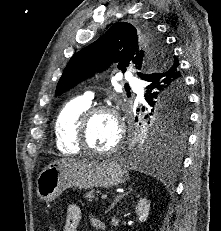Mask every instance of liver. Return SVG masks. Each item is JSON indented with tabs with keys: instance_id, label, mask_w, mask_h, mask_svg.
Here are the masks:
<instances>
[{
	"instance_id": "1",
	"label": "liver",
	"mask_w": 221,
	"mask_h": 231,
	"mask_svg": "<svg viewBox=\"0 0 221 231\" xmlns=\"http://www.w3.org/2000/svg\"><path fill=\"white\" fill-rule=\"evenodd\" d=\"M68 161H73V160H69V159H60V160H56V161H54V164H56V163H64V162H68Z\"/></svg>"
}]
</instances>
